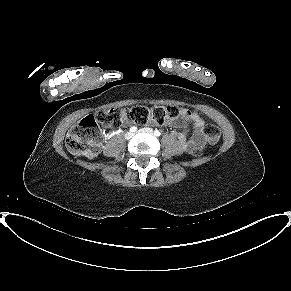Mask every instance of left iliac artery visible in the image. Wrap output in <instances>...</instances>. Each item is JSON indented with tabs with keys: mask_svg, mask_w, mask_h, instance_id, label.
<instances>
[{
	"mask_svg": "<svg viewBox=\"0 0 291 291\" xmlns=\"http://www.w3.org/2000/svg\"><path fill=\"white\" fill-rule=\"evenodd\" d=\"M154 135H155V136H160V135H161V132H160L159 130H155V131H154Z\"/></svg>",
	"mask_w": 291,
	"mask_h": 291,
	"instance_id": "obj_1",
	"label": "left iliac artery"
}]
</instances>
